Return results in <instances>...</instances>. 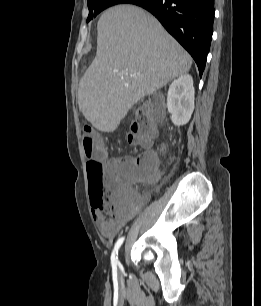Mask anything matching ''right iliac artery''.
Returning <instances> with one entry per match:
<instances>
[{
    "label": "right iliac artery",
    "instance_id": "1",
    "mask_svg": "<svg viewBox=\"0 0 261 306\" xmlns=\"http://www.w3.org/2000/svg\"><path fill=\"white\" fill-rule=\"evenodd\" d=\"M124 237H121L117 240L115 246H114V249L112 251V254H111V264L113 266V268H116L117 265H118V258H117V254H118V250L120 248V246L122 245L123 241H124Z\"/></svg>",
    "mask_w": 261,
    "mask_h": 306
}]
</instances>
